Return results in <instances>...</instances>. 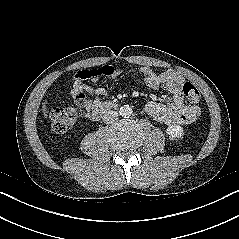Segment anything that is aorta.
<instances>
[{
    "label": "aorta",
    "mask_w": 239,
    "mask_h": 239,
    "mask_svg": "<svg viewBox=\"0 0 239 239\" xmlns=\"http://www.w3.org/2000/svg\"><path fill=\"white\" fill-rule=\"evenodd\" d=\"M132 113H133V110L129 105H123L119 109V114L125 118L130 117Z\"/></svg>",
    "instance_id": "1"
}]
</instances>
